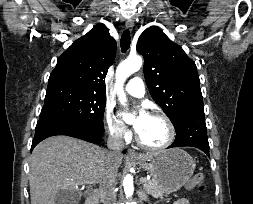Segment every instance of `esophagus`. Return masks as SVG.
Listing matches in <instances>:
<instances>
[{
	"label": "esophagus",
	"instance_id": "obj_1",
	"mask_svg": "<svg viewBox=\"0 0 253 204\" xmlns=\"http://www.w3.org/2000/svg\"><path fill=\"white\" fill-rule=\"evenodd\" d=\"M133 26H134V20L133 19H128L126 21V28L127 29H132ZM127 155L130 158H140V155L137 154L134 150H131V149L128 150V154Z\"/></svg>",
	"mask_w": 253,
	"mask_h": 204
}]
</instances>
